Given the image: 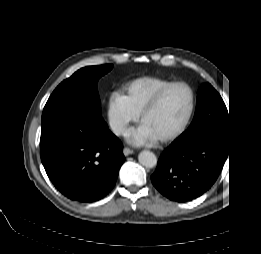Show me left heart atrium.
<instances>
[{"mask_svg":"<svg viewBox=\"0 0 261 254\" xmlns=\"http://www.w3.org/2000/svg\"><path fill=\"white\" fill-rule=\"evenodd\" d=\"M127 142L135 146H146L155 141L153 136L142 124L130 130L126 135Z\"/></svg>","mask_w":261,"mask_h":254,"instance_id":"39dd6f15","label":"left heart atrium"}]
</instances>
